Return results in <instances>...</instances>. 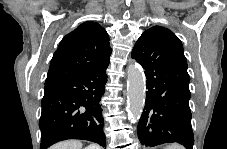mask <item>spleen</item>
Returning a JSON list of instances; mask_svg holds the SVG:
<instances>
[{
    "label": "spleen",
    "mask_w": 227,
    "mask_h": 149,
    "mask_svg": "<svg viewBox=\"0 0 227 149\" xmlns=\"http://www.w3.org/2000/svg\"><path fill=\"white\" fill-rule=\"evenodd\" d=\"M165 149H184V148L181 145L172 144V145H168Z\"/></svg>",
    "instance_id": "obj_1"
}]
</instances>
